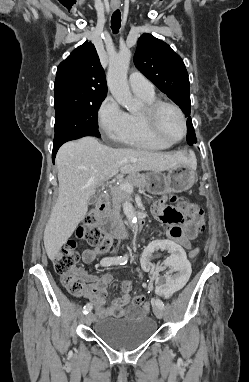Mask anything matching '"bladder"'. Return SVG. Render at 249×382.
Returning a JSON list of instances; mask_svg holds the SVG:
<instances>
[{"label": "bladder", "instance_id": "bladder-1", "mask_svg": "<svg viewBox=\"0 0 249 382\" xmlns=\"http://www.w3.org/2000/svg\"><path fill=\"white\" fill-rule=\"evenodd\" d=\"M96 336L117 350H131L149 340L155 333L156 322L149 316L137 319L107 317L95 324Z\"/></svg>", "mask_w": 249, "mask_h": 382}]
</instances>
